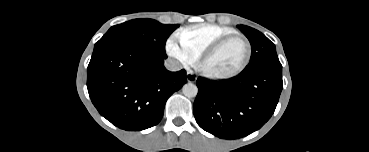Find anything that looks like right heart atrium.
Listing matches in <instances>:
<instances>
[{"instance_id": "1", "label": "right heart atrium", "mask_w": 369, "mask_h": 152, "mask_svg": "<svg viewBox=\"0 0 369 152\" xmlns=\"http://www.w3.org/2000/svg\"><path fill=\"white\" fill-rule=\"evenodd\" d=\"M167 53L175 58L181 65L188 67L195 63L194 55L180 42L176 36H171L166 42Z\"/></svg>"}]
</instances>
